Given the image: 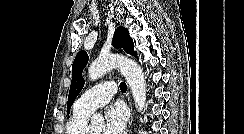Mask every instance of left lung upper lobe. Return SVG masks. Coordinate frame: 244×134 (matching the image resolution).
<instances>
[{
  "label": "left lung upper lobe",
  "mask_w": 244,
  "mask_h": 134,
  "mask_svg": "<svg viewBox=\"0 0 244 134\" xmlns=\"http://www.w3.org/2000/svg\"><path fill=\"white\" fill-rule=\"evenodd\" d=\"M113 46L115 48H123L124 51L136 57L137 53L134 51L133 40L129 36V32L124 27H118L114 33ZM88 62V55L85 51H80L72 65V81L67 102V113L70 112L74 100L84 86V79L82 71Z\"/></svg>",
  "instance_id": "left-lung-upper-lobe-1"
}]
</instances>
